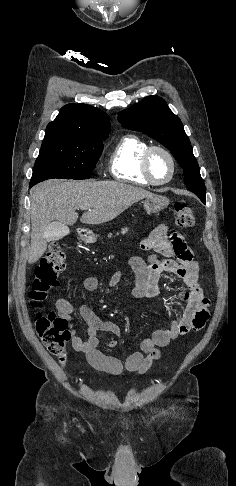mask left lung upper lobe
Returning <instances> with one entry per match:
<instances>
[{
  "mask_svg": "<svg viewBox=\"0 0 236 486\" xmlns=\"http://www.w3.org/2000/svg\"><path fill=\"white\" fill-rule=\"evenodd\" d=\"M126 128L145 132L170 150L184 169L185 184L206 204V192L199 165L180 118L158 96L145 97L141 102L123 110L118 116Z\"/></svg>",
  "mask_w": 236,
  "mask_h": 486,
  "instance_id": "left-lung-upper-lobe-1",
  "label": "left lung upper lobe"
}]
</instances>
